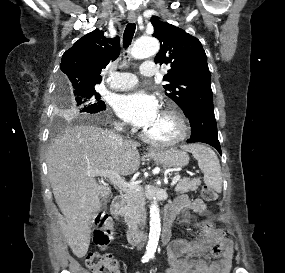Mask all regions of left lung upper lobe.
Here are the masks:
<instances>
[{"label": "left lung upper lobe", "mask_w": 285, "mask_h": 273, "mask_svg": "<svg viewBox=\"0 0 285 273\" xmlns=\"http://www.w3.org/2000/svg\"><path fill=\"white\" fill-rule=\"evenodd\" d=\"M153 36L161 48L155 62L170 67L164 80L165 94L185 113L194 108L213 107V93L207 56L198 39L181 28L151 17Z\"/></svg>", "instance_id": "obj_1"}]
</instances>
